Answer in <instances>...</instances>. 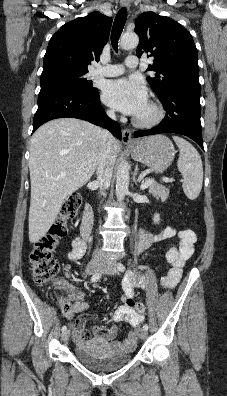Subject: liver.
Segmentation results:
<instances>
[{
	"label": "liver",
	"instance_id": "liver-1",
	"mask_svg": "<svg viewBox=\"0 0 227 396\" xmlns=\"http://www.w3.org/2000/svg\"><path fill=\"white\" fill-rule=\"evenodd\" d=\"M102 130L76 118L45 123L31 138L29 240L46 235L67 196L84 186L98 166ZM111 147L116 157L119 142Z\"/></svg>",
	"mask_w": 227,
	"mask_h": 396
}]
</instances>
